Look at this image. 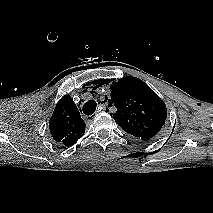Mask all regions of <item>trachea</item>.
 I'll return each mask as SVG.
<instances>
[{
	"instance_id": "trachea-1",
	"label": "trachea",
	"mask_w": 213,
	"mask_h": 213,
	"mask_svg": "<svg viewBox=\"0 0 213 213\" xmlns=\"http://www.w3.org/2000/svg\"><path fill=\"white\" fill-rule=\"evenodd\" d=\"M96 102L94 100H89L83 105V113L85 115H92L96 110Z\"/></svg>"
}]
</instances>
